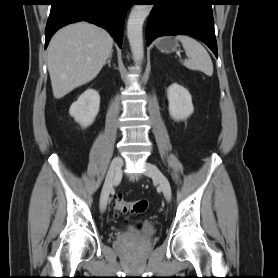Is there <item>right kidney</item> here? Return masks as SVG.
<instances>
[{
	"mask_svg": "<svg viewBox=\"0 0 278 278\" xmlns=\"http://www.w3.org/2000/svg\"><path fill=\"white\" fill-rule=\"evenodd\" d=\"M100 96L94 89H87L69 109V114L83 127L91 125L99 112Z\"/></svg>",
	"mask_w": 278,
	"mask_h": 278,
	"instance_id": "1",
	"label": "right kidney"
}]
</instances>
